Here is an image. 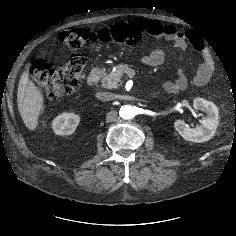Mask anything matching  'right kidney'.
<instances>
[{
	"mask_svg": "<svg viewBox=\"0 0 236 236\" xmlns=\"http://www.w3.org/2000/svg\"><path fill=\"white\" fill-rule=\"evenodd\" d=\"M79 122V115L64 112L52 121V129L56 135H71Z\"/></svg>",
	"mask_w": 236,
	"mask_h": 236,
	"instance_id": "obj_1",
	"label": "right kidney"
}]
</instances>
